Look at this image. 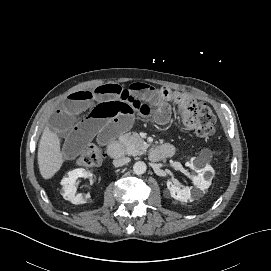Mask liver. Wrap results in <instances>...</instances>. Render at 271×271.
<instances>
[{
  "label": "liver",
  "mask_w": 271,
  "mask_h": 271,
  "mask_svg": "<svg viewBox=\"0 0 271 271\" xmlns=\"http://www.w3.org/2000/svg\"><path fill=\"white\" fill-rule=\"evenodd\" d=\"M60 144L61 140L57 134L46 126L38 147V165L44 179L53 177L64 162Z\"/></svg>",
  "instance_id": "6515ba94"
}]
</instances>
